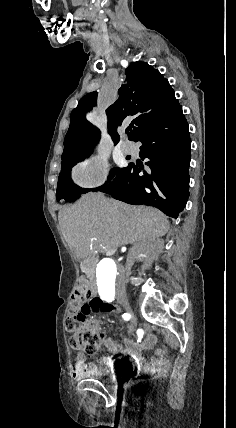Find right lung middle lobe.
Segmentation results:
<instances>
[{"label": "right lung middle lobe", "instance_id": "dd1d6c3e", "mask_svg": "<svg viewBox=\"0 0 236 428\" xmlns=\"http://www.w3.org/2000/svg\"><path fill=\"white\" fill-rule=\"evenodd\" d=\"M84 158H81L75 162H73L72 164H70L66 169L61 170V173L59 174V178H58V185H57V191H56V198L57 200H61L64 199L66 202H74L75 200H77L81 194L90 192V191H98L100 189H102L103 187H105L104 185L98 188H94V189H84V188H80L77 185H75L70 177V173H71V167H73L76 163H78L79 161L83 160ZM121 169L119 168H114L111 170L110 175H109V179L106 182V184L114 179V177L117 175V173L120 171Z\"/></svg>", "mask_w": 236, "mask_h": 428}]
</instances>
